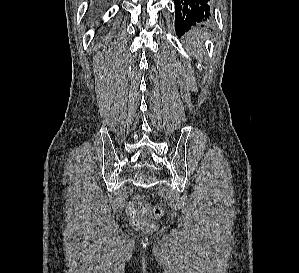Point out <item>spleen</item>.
Here are the masks:
<instances>
[{
    "mask_svg": "<svg viewBox=\"0 0 299 273\" xmlns=\"http://www.w3.org/2000/svg\"><path fill=\"white\" fill-rule=\"evenodd\" d=\"M186 41L188 43V49L192 55H201L204 52V34L201 30L190 31L186 35Z\"/></svg>",
    "mask_w": 299,
    "mask_h": 273,
    "instance_id": "obj_1",
    "label": "spleen"
}]
</instances>
